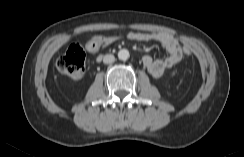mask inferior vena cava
Instances as JSON below:
<instances>
[{
    "label": "inferior vena cava",
    "mask_w": 244,
    "mask_h": 157,
    "mask_svg": "<svg viewBox=\"0 0 244 157\" xmlns=\"http://www.w3.org/2000/svg\"><path fill=\"white\" fill-rule=\"evenodd\" d=\"M115 61V57L114 55L112 54H106L104 57H103V62L105 64H110V63H113Z\"/></svg>",
    "instance_id": "inferior-vena-cava-1"
}]
</instances>
